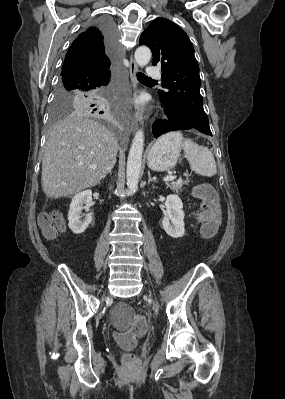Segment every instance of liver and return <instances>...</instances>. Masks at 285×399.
I'll use <instances>...</instances> for the list:
<instances>
[{"instance_id": "6515ba94", "label": "liver", "mask_w": 285, "mask_h": 399, "mask_svg": "<svg viewBox=\"0 0 285 399\" xmlns=\"http://www.w3.org/2000/svg\"><path fill=\"white\" fill-rule=\"evenodd\" d=\"M118 148L105 126L73 112L49 133L42 159L43 192L56 199L95 186L115 165Z\"/></svg>"}]
</instances>
